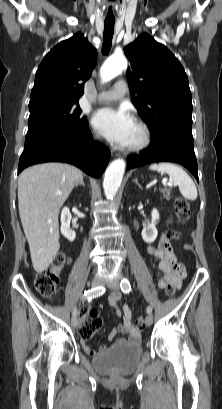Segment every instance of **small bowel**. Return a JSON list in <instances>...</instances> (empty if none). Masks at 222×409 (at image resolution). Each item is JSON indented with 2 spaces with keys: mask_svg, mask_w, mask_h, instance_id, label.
Listing matches in <instances>:
<instances>
[{
  "mask_svg": "<svg viewBox=\"0 0 222 409\" xmlns=\"http://www.w3.org/2000/svg\"><path fill=\"white\" fill-rule=\"evenodd\" d=\"M149 254L156 260L157 268L160 272L158 280V287L164 289L168 284L173 285L175 288H180L183 278L185 277V260H181L179 256H175L170 241L166 236H161L157 246H149ZM122 298V294L119 291L112 292L108 297V304L112 307L118 317L122 319V324L113 328L109 333L108 339L114 341L116 345H122L127 343H139L140 334L134 327L132 322V311L129 306L123 305L120 307L119 303ZM117 334H122L124 337L116 338ZM82 346L85 352L94 356L96 351L88 346L85 339L82 341ZM108 346L101 345L99 351L105 352Z\"/></svg>",
  "mask_w": 222,
  "mask_h": 409,
  "instance_id": "1",
  "label": "small bowel"
}]
</instances>
